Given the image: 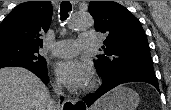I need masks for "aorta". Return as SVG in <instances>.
Wrapping results in <instances>:
<instances>
[{
    "instance_id": "obj_1",
    "label": "aorta",
    "mask_w": 171,
    "mask_h": 110,
    "mask_svg": "<svg viewBox=\"0 0 171 110\" xmlns=\"http://www.w3.org/2000/svg\"><path fill=\"white\" fill-rule=\"evenodd\" d=\"M93 23V19L88 13H75L69 21V28L79 31L89 28Z\"/></svg>"
}]
</instances>
